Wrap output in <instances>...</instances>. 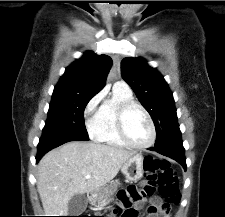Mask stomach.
Returning <instances> with one entry per match:
<instances>
[{"label": "stomach", "instance_id": "stomach-1", "mask_svg": "<svg viewBox=\"0 0 225 217\" xmlns=\"http://www.w3.org/2000/svg\"><path fill=\"white\" fill-rule=\"evenodd\" d=\"M122 173L129 181H138L144 174V157L141 154H135L130 157L121 168ZM117 187L116 182H111L109 185L96 190L90 200L93 204L102 201L115 192Z\"/></svg>", "mask_w": 225, "mask_h": 217}]
</instances>
